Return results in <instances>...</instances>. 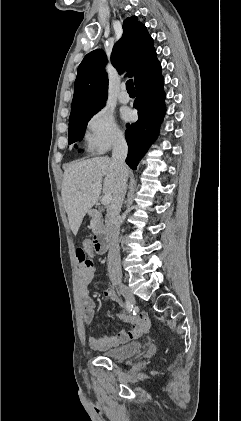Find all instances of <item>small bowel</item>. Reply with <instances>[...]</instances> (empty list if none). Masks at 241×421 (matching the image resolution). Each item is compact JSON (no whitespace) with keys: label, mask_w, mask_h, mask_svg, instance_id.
I'll return each mask as SVG.
<instances>
[{"label":"small bowel","mask_w":241,"mask_h":421,"mask_svg":"<svg viewBox=\"0 0 241 421\" xmlns=\"http://www.w3.org/2000/svg\"><path fill=\"white\" fill-rule=\"evenodd\" d=\"M95 273L94 264L80 263L77 272L79 298L83 308V319L87 326L91 325L95 318V302L88 288V285L95 277ZM104 297L107 300L118 301V296L112 289H105ZM128 323L130 325L128 329L118 331L115 334L100 337L90 336L89 345L95 350H108L139 338L151 328V320L145 312L129 318Z\"/></svg>","instance_id":"obj_1"}]
</instances>
